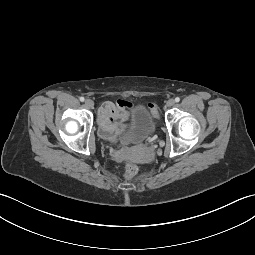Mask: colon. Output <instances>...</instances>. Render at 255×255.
Segmentation results:
<instances>
[{
  "label": "colon",
  "instance_id": "5ec220e1",
  "mask_svg": "<svg viewBox=\"0 0 255 255\" xmlns=\"http://www.w3.org/2000/svg\"><path fill=\"white\" fill-rule=\"evenodd\" d=\"M149 109L152 112V114L154 116H157V108L156 105L153 103H150L149 105ZM138 172V167L136 166V164H134L131 161H126L125 165H124V177L126 179H132Z\"/></svg>",
  "mask_w": 255,
  "mask_h": 255
}]
</instances>
